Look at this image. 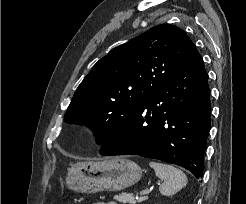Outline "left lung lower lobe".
Returning <instances> with one entry per match:
<instances>
[{"instance_id":"obj_1","label":"left lung lower lobe","mask_w":246,"mask_h":204,"mask_svg":"<svg viewBox=\"0 0 246 204\" xmlns=\"http://www.w3.org/2000/svg\"><path fill=\"white\" fill-rule=\"evenodd\" d=\"M208 74L196 50L190 60L119 125L99 153L139 155L203 174L210 130Z\"/></svg>"}]
</instances>
